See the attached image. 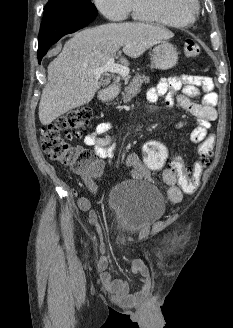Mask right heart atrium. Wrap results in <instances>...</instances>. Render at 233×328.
Returning a JSON list of instances; mask_svg holds the SVG:
<instances>
[{
	"label": "right heart atrium",
	"instance_id": "1",
	"mask_svg": "<svg viewBox=\"0 0 233 328\" xmlns=\"http://www.w3.org/2000/svg\"><path fill=\"white\" fill-rule=\"evenodd\" d=\"M98 11L107 19L122 21L130 13L131 0H93Z\"/></svg>",
	"mask_w": 233,
	"mask_h": 328
}]
</instances>
